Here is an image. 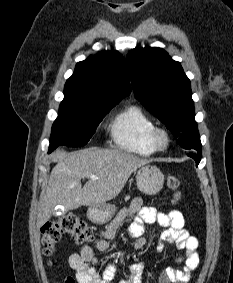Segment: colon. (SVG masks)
Masks as SVG:
<instances>
[{
	"instance_id": "obj_1",
	"label": "colon",
	"mask_w": 233,
	"mask_h": 283,
	"mask_svg": "<svg viewBox=\"0 0 233 283\" xmlns=\"http://www.w3.org/2000/svg\"><path fill=\"white\" fill-rule=\"evenodd\" d=\"M167 186L173 192V202L180 197L181 181L178 177L168 176ZM67 234L79 245L87 246L94 239L93 230L77 216L64 215L56 220L46 222L41 228V240L46 255H51L62 235ZM60 283H75L71 277Z\"/></svg>"
}]
</instances>
